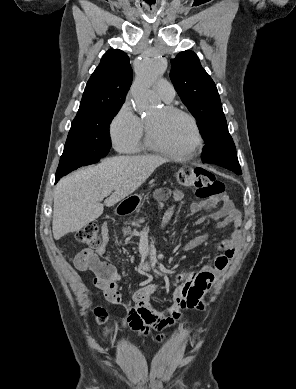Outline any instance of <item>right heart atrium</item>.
<instances>
[{
	"instance_id": "d8ad5b80",
	"label": "right heart atrium",
	"mask_w": 296,
	"mask_h": 389,
	"mask_svg": "<svg viewBox=\"0 0 296 389\" xmlns=\"http://www.w3.org/2000/svg\"><path fill=\"white\" fill-rule=\"evenodd\" d=\"M144 132L142 119L129 103H124L116 112L109 125L111 141L121 153H135L141 147Z\"/></svg>"
}]
</instances>
